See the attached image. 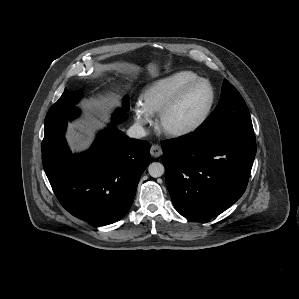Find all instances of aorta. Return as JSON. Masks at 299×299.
<instances>
[{
    "label": "aorta",
    "mask_w": 299,
    "mask_h": 299,
    "mask_svg": "<svg viewBox=\"0 0 299 299\" xmlns=\"http://www.w3.org/2000/svg\"><path fill=\"white\" fill-rule=\"evenodd\" d=\"M148 172H149L150 176L157 178L164 174L165 169H164L163 164H161L159 162H153L148 166Z\"/></svg>",
    "instance_id": "1"
}]
</instances>
